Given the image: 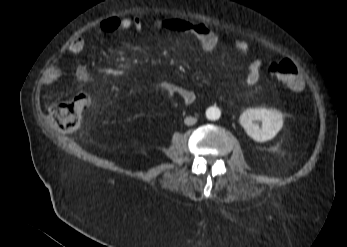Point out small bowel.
<instances>
[{"label":"small bowel","mask_w":347,"mask_h":247,"mask_svg":"<svg viewBox=\"0 0 347 247\" xmlns=\"http://www.w3.org/2000/svg\"><path fill=\"white\" fill-rule=\"evenodd\" d=\"M147 24L138 17L117 18L111 17L101 24L100 31L105 35H112L117 31H139ZM155 28L157 24H152ZM166 30L174 32H186L191 34L199 43L200 47L207 51H214L219 45L218 35L204 22H189L185 20H167L159 24ZM85 47V41L81 36L72 39L68 45V51L73 54H79ZM234 49L242 56L249 51V44L244 39H237L233 44ZM259 59H252L248 66V73L245 77V83L249 86L255 85L259 80V71L261 68ZM63 76V68L59 63L52 65L44 77V84L51 87L58 83ZM76 80L79 85H83L89 81L88 76L84 73H77ZM158 88L168 95L179 97L185 104H192L196 100V93L187 87L169 82L160 81ZM302 89V87L300 88ZM299 89V90H300ZM83 92V91H81ZM80 93V92H79ZM78 93V94H79ZM77 94V95H78Z\"/></svg>","instance_id":"1"}]
</instances>
